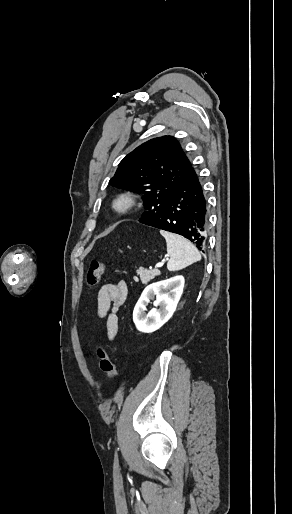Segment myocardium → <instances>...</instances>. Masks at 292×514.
<instances>
[{
	"instance_id": "myocardium-1",
	"label": "myocardium",
	"mask_w": 292,
	"mask_h": 514,
	"mask_svg": "<svg viewBox=\"0 0 292 514\" xmlns=\"http://www.w3.org/2000/svg\"><path fill=\"white\" fill-rule=\"evenodd\" d=\"M133 204V198L130 194L120 195L112 205V209L116 212H123L129 209Z\"/></svg>"
}]
</instances>
